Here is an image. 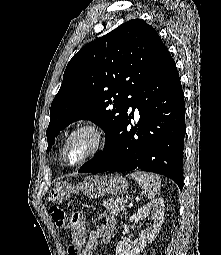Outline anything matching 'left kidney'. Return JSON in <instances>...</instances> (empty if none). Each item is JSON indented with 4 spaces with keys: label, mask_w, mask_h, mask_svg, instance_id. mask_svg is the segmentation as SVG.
Instances as JSON below:
<instances>
[{
    "label": "left kidney",
    "mask_w": 221,
    "mask_h": 255,
    "mask_svg": "<svg viewBox=\"0 0 221 255\" xmlns=\"http://www.w3.org/2000/svg\"><path fill=\"white\" fill-rule=\"evenodd\" d=\"M164 209L165 204L162 198H156L139 208L137 212L130 217V221L143 220L148 217L152 222L146 225L139 239L133 242L119 241L116 246V255H138L144 250L148 243L153 242L163 224Z\"/></svg>",
    "instance_id": "left-kidney-1"
}]
</instances>
